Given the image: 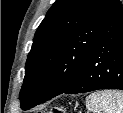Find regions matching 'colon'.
I'll list each match as a JSON object with an SVG mask.
<instances>
[{
  "instance_id": "1",
  "label": "colon",
  "mask_w": 123,
  "mask_h": 113,
  "mask_svg": "<svg viewBox=\"0 0 123 113\" xmlns=\"http://www.w3.org/2000/svg\"><path fill=\"white\" fill-rule=\"evenodd\" d=\"M66 110L63 107H53L49 113H65Z\"/></svg>"
}]
</instances>
